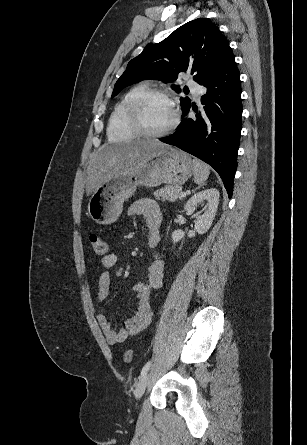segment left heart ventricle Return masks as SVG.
<instances>
[{
  "label": "left heart ventricle",
  "instance_id": "b2bd125f",
  "mask_svg": "<svg viewBox=\"0 0 307 445\" xmlns=\"http://www.w3.org/2000/svg\"><path fill=\"white\" fill-rule=\"evenodd\" d=\"M143 117L147 128L152 132L166 129L174 117V109L163 99H152L144 107Z\"/></svg>",
  "mask_w": 307,
  "mask_h": 445
}]
</instances>
